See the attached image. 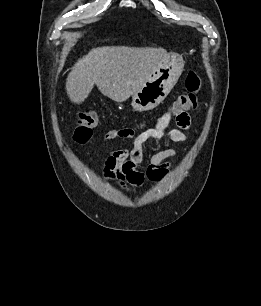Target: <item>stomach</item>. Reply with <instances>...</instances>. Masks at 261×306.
<instances>
[{"label":"stomach","mask_w":261,"mask_h":306,"mask_svg":"<svg viewBox=\"0 0 261 306\" xmlns=\"http://www.w3.org/2000/svg\"><path fill=\"white\" fill-rule=\"evenodd\" d=\"M184 64L182 56L176 53L162 59L140 89L131 95L132 108L143 112L157 107L177 83Z\"/></svg>","instance_id":"1"}]
</instances>
